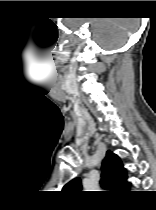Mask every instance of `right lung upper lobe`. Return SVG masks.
Instances as JSON below:
<instances>
[{"mask_svg": "<svg viewBox=\"0 0 156 210\" xmlns=\"http://www.w3.org/2000/svg\"><path fill=\"white\" fill-rule=\"evenodd\" d=\"M102 174H101V186L116 190L119 192H127L130 187V183L127 182V172L123 167L120 158L111 151H107L106 156L102 162ZM66 187L80 190L81 179L75 178L71 180ZM126 190V191H125Z\"/></svg>", "mask_w": 156, "mask_h": 210, "instance_id": "1", "label": "right lung upper lobe"}]
</instances>
